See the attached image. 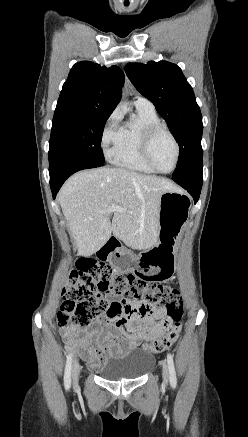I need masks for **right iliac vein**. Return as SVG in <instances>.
<instances>
[{
    "label": "right iliac vein",
    "mask_w": 248,
    "mask_h": 437,
    "mask_svg": "<svg viewBox=\"0 0 248 437\" xmlns=\"http://www.w3.org/2000/svg\"><path fill=\"white\" fill-rule=\"evenodd\" d=\"M79 375H80V365L77 359L74 360L72 365V379L73 384L77 385L79 381Z\"/></svg>",
    "instance_id": "63e3f726"
}]
</instances>
